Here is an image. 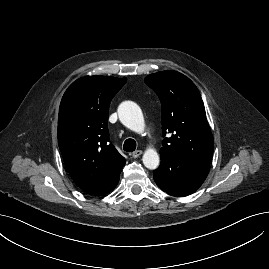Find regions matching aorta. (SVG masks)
<instances>
[{
    "label": "aorta",
    "mask_w": 269,
    "mask_h": 269,
    "mask_svg": "<svg viewBox=\"0 0 269 269\" xmlns=\"http://www.w3.org/2000/svg\"><path fill=\"white\" fill-rule=\"evenodd\" d=\"M119 119L124 126L135 131L142 132L145 128L143 113L140 107L132 102L125 101L118 108ZM146 168L154 170L159 166L160 159L156 150L149 148L145 151L142 158Z\"/></svg>",
    "instance_id": "obj_1"
}]
</instances>
